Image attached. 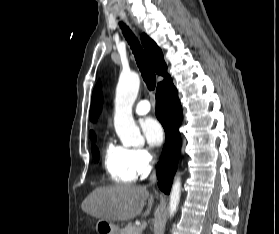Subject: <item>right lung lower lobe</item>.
Here are the masks:
<instances>
[{"label":"right lung lower lobe","instance_id":"right-lung-lower-lobe-1","mask_svg":"<svg viewBox=\"0 0 279 234\" xmlns=\"http://www.w3.org/2000/svg\"><path fill=\"white\" fill-rule=\"evenodd\" d=\"M156 116L164 127L166 136L157 166L158 186L163 192L169 194L180 155L181 136L179 126L182 121V109L178 93L170 77L157 86Z\"/></svg>","mask_w":279,"mask_h":234}]
</instances>
